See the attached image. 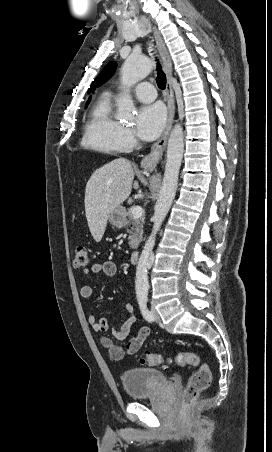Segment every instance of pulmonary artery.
I'll return each mask as SVG.
<instances>
[{"label":"pulmonary artery","instance_id":"pulmonary-artery-1","mask_svg":"<svg viewBox=\"0 0 272 452\" xmlns=\"http://www.w3.org/2000/svg\"><path fill=\"white\" fill-rule=\"evenodd\" d=\"M133 92L140 102L149 103L155 100L156 91L154 86L149 82H141L135 86Z\"/></svg>","mask_w":272,"mask_h":452}]
</instances>
